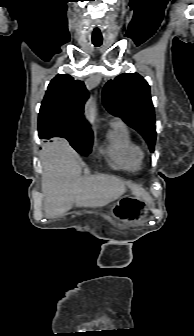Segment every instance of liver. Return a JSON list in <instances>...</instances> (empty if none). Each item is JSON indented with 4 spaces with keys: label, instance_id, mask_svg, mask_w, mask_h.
<instances>
[{
    "label": "liver",
    "instance_id": "obj_1",
    "mask_svg": "<svg viewBox=\"0 0 194 336\" xmlns=\"http://www.w3.org/2000/svg\"><path fill=\"white\" fill-rule=\"evenodd\" d=\"M40 158L44 211L49 218L64 215L73 205L105 206L126 191L125 182L114 176L83 177V162L67 142L55 141L44 146Z\"/></svg>",
    "mask_w": 194,
    "mask_h": 336
}]
</instances>
